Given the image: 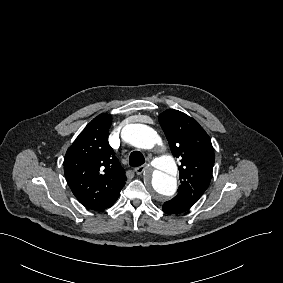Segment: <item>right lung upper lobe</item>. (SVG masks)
<instances>
[{"label":"right lung upper lobe","mask_w":283,"mask_h":283,"mask_svg":"<svg viewBox=\"0 0 283 283\" xmlns=\"http://www.w3.org/2000/svg\"><path fill=\"white\" fill-rule=\"evenodd\" d=\"M112 115L94 118L68 148L64 172L74 196L86 208L111 207L125 185V171L108 143Z\"/></svg>","instance_id":"cb5924a9"}]
</instances>
